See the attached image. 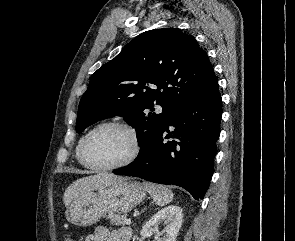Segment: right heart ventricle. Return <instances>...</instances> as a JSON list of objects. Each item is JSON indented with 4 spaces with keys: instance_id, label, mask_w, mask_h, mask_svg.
<instances>
[{
    "instance_id": "1",
    "label": "right heart ventricle",
    "mask_w": 295,
    "mask_h": 241,
    "mask_svg": "<svg viewBox=\"0 0 295 241\" xmlns=\"http://www.w3.org/2000/svg\"><path fill=\"white\" fill-rule=\"evenodd\" d=\"M85 136H86V134H84V135L79 139V141H78V143H77V146H76V149H75V157H76V160H77L78 162H80V159H79L80 146H81V143H82V141H83V139H84Z\"/></svg>"
}]
</instances>
